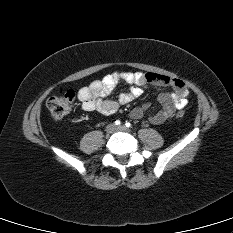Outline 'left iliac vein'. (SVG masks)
<instances>
[{
    "mask_svg": "<svg viewBox=\"0 0 233 233\" xmlns=\"http://www.w3.org/2000/svg\"><path fill=\"white\" fill-rule=\"evenodd\" d=\"M116 130H117V131H122V132H127V131H128V129H127L126 126H124V125L118 126V127L116 128Z\"/></svg>",
    "mask_w": 233,
    "mask_h": 233,
    "instance_id": "4c4485c4",
    "label": "left iliac vein"
}]
</instances>
